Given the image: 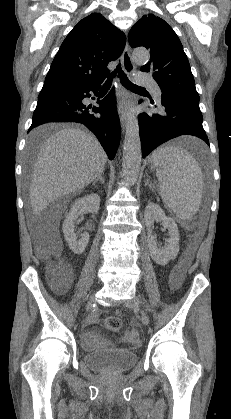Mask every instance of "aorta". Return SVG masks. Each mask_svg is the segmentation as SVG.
Returning <instances> with one entry per match:
<instances>
[{
  "label": "aorta",
  "mask_w": 231,
  "mask_h": 419,
  "mask_svg": "<svg viewBox=\"0 0 231 419\" xmlns=\"http://www.w3.org/2000/svg\"><path fill=\"white\" fill-rule=\"evenodd\" d=\"M132 57L137 63H146L150 55L146 49H135ZM141 159L139 122L135 110L131 109L126 118V132L123 144L122 172L127 183L134 184L137 181Z\"/></svg>",
  "instance_id": "aorta-1"
}]
</instances>
